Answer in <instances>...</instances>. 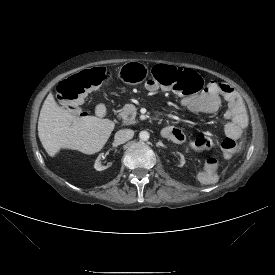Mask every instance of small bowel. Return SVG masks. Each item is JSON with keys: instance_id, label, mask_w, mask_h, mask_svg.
<instances>
[{"instance_id": "1", "label": "small bowel", "mask_w": 275, "mask_h": 275, "mask_svg": "<svg viewBox=\"0 0 275 275\" xmlns=\"http://www.w3.org/2000/svg\"><path fill=\"white\" fill-rule=\"evenodd\" d=\"M223 101L227 103L223 114L225 134L229 138L242 139L248 126V116L240 96L231 86L212 82L201 94L187 97L184 105L193 112L210 114L217 112ZM162 136L176 143L186 140L184 132L175 127L164 128ZM186 146L191 153L202 157L208 156L213 149L212 140L207 135L191 136ZM220 171V162L216 158L206 157L197 172V181L204 187H213L219 182Z\"/></svg>"}]
</instances>
